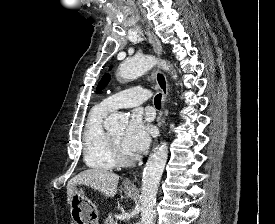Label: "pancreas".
<instances>
[{
  "label": "pancreas",
  "mask_w": 275,
  "mask_h": 224,
  "mask_svg": "<svg viewBox=\"0 0 275 224\" xmlns=\"http://www.w3.org/2000/svg\"><path fill=\"white\" fill-rule=\"evenodd\" d=\"M104 224H117L116 221L113 218L112 213H109L108 216L106 217Z\"/></svg>",
  "instance_id": "obj_1"
}]
</instances>
